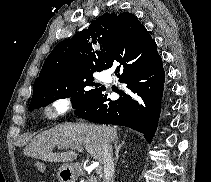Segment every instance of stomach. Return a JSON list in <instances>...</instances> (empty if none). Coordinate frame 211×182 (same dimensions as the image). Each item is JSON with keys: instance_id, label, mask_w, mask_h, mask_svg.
<instances>
[{"instance_id": "obj_1", "label": "stomach", "mask_w": 211, "mask_h": 182, "mask_svg": "<svg viewBox=\"0 0 211 182\" xmlns=\"http://www.w3.org/2000/svg\"><path fill=\"white\" fill-rule=\"evenodd\" d=\"M78 177V171L73 164L65 163L61 165L58 171L60 182H75Z\"/></svg>"}]
</instances>
